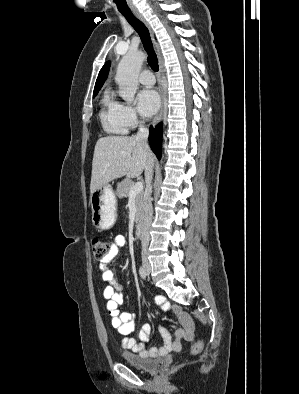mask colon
I'll list each match as a JSON object with an SVG mask.
<instances>
[{"label":"colon","mask_w":299,"mask_h":394,"mask_svg":"<svg viewBox=\"0 0 299 394\" xmlns=\"http://www.w3.org/2000/svg\"><path fill=\"white\" fill-rule=\"evenodd\" d=\"M91 248L95 259L99 261H103L104 259H106V257L109 254L110 245L106 240L99 237H94L91 240ZM202 348H203V342L201 341L196 342L192 346L191 352L193 354H198L202 350Z\"/></svg>","instance_id":"obj_1"}]
</instances>
